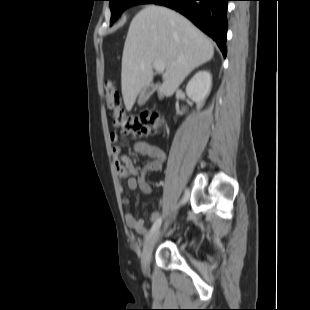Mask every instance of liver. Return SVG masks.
<instances>
[{
	"label": "liver",
	"instance_id": "1",
	"mask_svg": "<svg viewBox=\"0 0 310 310\" xmlns=\"http://www.w3.org/2000/svg\"><path fill=\"white\" fill-rule=\"evenodd\" d=\"M211 41L185 17L168 8L149 5L130 23L121 71L122 96L131 111L137 96L153 79V64L162 61L166 72L157 85L159 98L174 94L189 73L211 60Z\"/></svg>",
	"mask_w": 310,
	"mask_h": 310
}]
</instances>
